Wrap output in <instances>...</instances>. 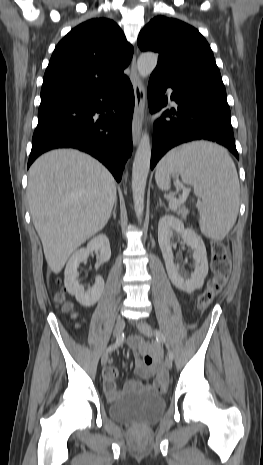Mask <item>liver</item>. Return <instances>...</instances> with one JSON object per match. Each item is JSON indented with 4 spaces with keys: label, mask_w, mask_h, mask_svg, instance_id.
Masks as SVG:
<instances>
[{
    "label": "liver",
    "mask_w": 263,
    "mask_h": 465,
    "mask_svg": "<svg viewBox=\"0 0 263 465\" xmlns=\"http://www.w3.org/2000/svg\"><path fill=\"white\" fill-rule=\"evenodd\" d=\"M27 197L48 267L58 274L72 253L107 224L116 183L93 157L58 149L30 167Z\"/></svg>",
    "instance_id": "liver-1"
}]
</instances>
